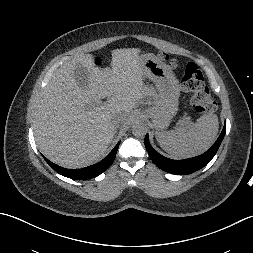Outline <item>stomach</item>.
I'll list each match as a JSON object with an SVG mask.
<instances>
[{"label":"stomach","mask_w":253,"mask_h":253,"mask_svg":"<svg viewBox=\"0 0 253 253\" xmlns=\"http://www.w3.org/2000/svg\"><path fill=\"white\" fill-rule=\"evenodd\" d=\"M140 58L143 75L156 84L158 92V98L154 106L148 109V115L156 130H164L178 110L179 81L170 67L154 54H142Z\"/></svg>","instance_id":"1"}]
</instances>
